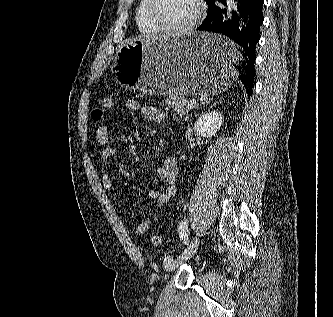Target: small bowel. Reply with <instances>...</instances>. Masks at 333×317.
I'll return each mask as SVG.
<instances>
[{
  "instance_id": "small-bowel-1",
  "label": "small bowel",
  "mask_w": 333,
  "mask_h": 317,
  "mask_svg": "<svg viewBox=\"0 0 333 317\" xmlns=\"http://www.w3.org/2000/svg\"><path fill=\"white\" fill-rule=\"evenodd\" d=\"M125 106L129 111H140L147 120L154 122H165L167 120L166 114L155 106H142L133 99L127 100ZM95 140L97 144L104 146L101 153V157L104 161L116 156V148L110 145V130L108 126L101 125L97 128ZM157 174L164 182V188L162 191L151 190L148 195L149 198L154 201V206L156 208H162L169 203L177 193L176 178L178 174V166L176 160L173 157H166L162 164L157 168ZM102 184L109 193H113V180L110 173H105L103 175ZM151 219L152 217L149 216L136 225L134 228L135 233H146L150 228Z\"/></svg>"
}]
</instances>
